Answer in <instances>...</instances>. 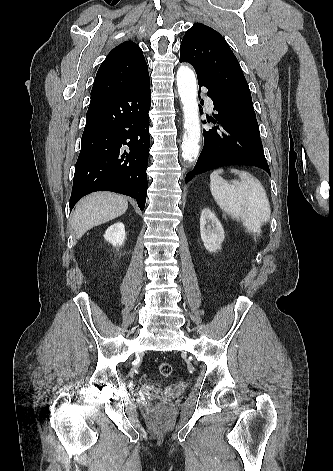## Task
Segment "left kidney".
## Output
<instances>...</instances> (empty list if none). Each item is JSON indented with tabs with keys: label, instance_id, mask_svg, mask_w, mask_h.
<instances>
[{
	"label": "left kidney",
	"instance_id": "left-kidney-1",
	"mask_svg": "<svg viewBox=\"0 0 333 471\" xmlns=\"http://www.w3.org/2000/svg\"><path fill=\"white\" fill-rule=\"evenodd\" d=\"M200 235L204 247L209 252H216L221 249V244L225 238L224 229L216 215L209 208L202 210L200 217Z\"/></svg>",
	"mask_w": 333,
	"mask_h": 471
}]
</instances>
